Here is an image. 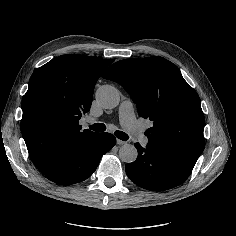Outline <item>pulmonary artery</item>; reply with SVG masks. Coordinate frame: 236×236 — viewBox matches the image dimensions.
<instances>
[{"mask_svg":"<svg viewBox=\"0 0 236 236\" xmlns=\"http://www.w3.org/2000/svg\"><path fill=\"white\" fill-rule=\"evenodd\" d=\"M132 102L130 100L124 101L120 106V121L121 124L124 125L128 133L133 138H140L142 136V129L137 124L132 107ZM149 140L147 137H142L140 143L143 147H146Z\"/></svg>","mask_w":236,"mask_h":236,"instance_id":"obj_1","label":"pulmonary artery"}]
</instances>
